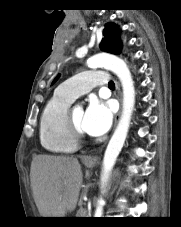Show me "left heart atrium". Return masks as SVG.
<instances>
[{
    "label": "left heart atrium",
    "mask_w": 181,
    "mask_h": 227,
    "mask_svg": "<svg viewBox=\"0 0 181 227\" xmlns=\"http://www.w3.org/2000/svg\"><path fill=\"white\" fill-rule=\"evenodd\" d=\"M110 105L98 99L91 100L84 112L82 130L91 136L104 134L112 123Z\"/></svg>",
    "instance_id": "obj_1"
}]
</instances>
